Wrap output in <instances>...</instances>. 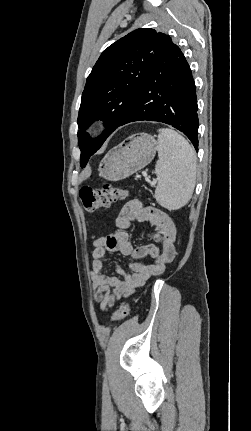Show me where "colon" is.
<instances>
[{
  "label": "colon",
  "mask_w": 251,
  "mask_h": 431,
  "mask_svg": "<svg viewBox=\"0 0 251 431\" xmlns=\"http://www.w3.org/2000/svg\"><path fill=\"white\" fill-rule=\"evenodd\" d=\"M79 196L83 208L87 212L92 213L107 208L118 200L124 199L127 196V191L110 184H105L100 189L83 186L79 191ZM129 310L128 302H122L118 310L113 314L112 321L119 322L125 319L129 314Z\"/></svg>",
  "instance_id": "5ec220e1"
}]
</instances>
